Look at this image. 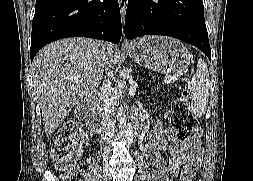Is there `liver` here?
Here are the masks:
<instances>
[{
	"instance_id": "obj_1",
	"label": "liver",
	"mask_w": 253,
	"mask_h": 181,
	"mask_svg": "<svg viewBox=\"0 0 253 181\" xmlns=\"http://www.w3.org/2000/svg\"><path fill=\"white\" fill-rule=\"evenodd\" d=\"M112 44L88 38H67L42 48L33 61V87L41 105L45 133L51 135L84 96L100 84L104 56L114 63Z\"/></svg>"
}]
</instances>
